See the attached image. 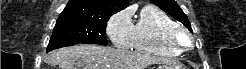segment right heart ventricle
I'll return each mask as SVG.
<instances>
[{"instance_id":"1","label":"right heart ventricle","mask_w":246,"mask_h":69,"mask_svg":"<svg viewBox=\"0 0 246 69\" xmlns=\"http://www.w3.org/2000/svg\"><path fill=\"white\" fill-rule=\"evenodd\" d=\"M177 25L172 17L162 9L144 6L132 25L130 48L155 56L170 57L179 54L169 41L168 31Z\"/></svg>"}]
</instances>
